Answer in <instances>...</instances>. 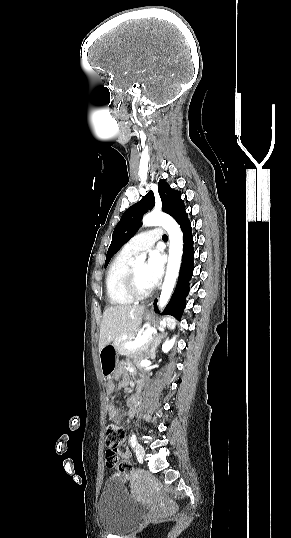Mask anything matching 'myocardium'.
Segmentation results:
<instances>
[{"label": "myocardium", "instance_id": "1", "mask_svg": "<svg viewBox=\"0 0 291 538\" xmlns=\"http://www.w3.org/2000/svg\"><path fill=\"white\" fill-rule=\"evenodd\" d=\"M125 290L127 294L134 300H143L152 294V288L147 291H142L136 281L133 267H129L124 280Z\"/></svg>", "mask_w": 291, "mask_h": 538}]
</instances>
